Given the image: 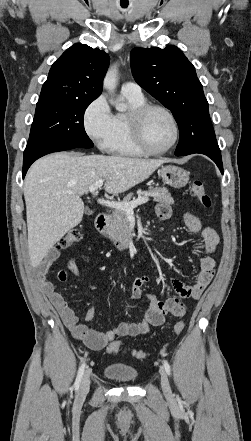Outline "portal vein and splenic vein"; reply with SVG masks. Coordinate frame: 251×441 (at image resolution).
<instances>
[{
	"label": "portal vein and splenic vein",
	"instance_id": "18ae733b",
	"mask_svg": "<svg viewBox=\"0 0 251 441\" xmlns=\"http://www.w3.org/2000/svg\"><path fill=\"white\" fill-rule=\"evenodd\" d=\"M104 179L96 181L93 185L89 187V192H91L93 195L97 194V191L99 188L103 186ZM149 200L148 196L139 197L133 201L130 202H117V201H110V200H104V199H98V203L104 206H107L109 208L114 209H120L126 212H131L135 207L138 205L147 203Z\"/></svg>",
	"mask_w": 251,
	"mask_h": 441
}]
</instances>
